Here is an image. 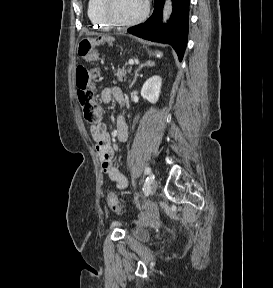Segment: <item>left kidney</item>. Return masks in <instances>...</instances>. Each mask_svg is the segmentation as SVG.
I'll list each match as a JSON object with an SVG mask.
<instances>
[{
    "label": "left kidney",
    "mask_w": 273,
    "mask_h": 288,
    "mask_svg": "<svg viewBox=\"0 0 273 288\" xmlns=\"http://www.w3.org/2000/svg\"><path fill=\"white\" fill-rule=\"evenodd\" d=\"M162 79L160 76H152L143 85L141 96L151 103H156L161 91Z\"/></svg>",
    "instance_id": "5707ae66"
}]
</instances>
